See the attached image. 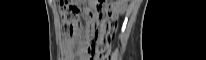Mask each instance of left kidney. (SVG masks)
Masks as SVG:
<instances>
[{"instance_id": "5707ae66", "label": "left kidney", "mask_w": 206, "mask_h": 60, "mask_svg": "<svg viewBox=\"0 0 206 60\" xmlns=\"http://www.w3.org/2000/svg\"><path fill=\"white\" fill-rule=\"evenodd\" d=\"M125 9H126L125 3L121 2V1L116 2V5H115L116 11L123 13L125 11Z\"/></svg>"}]
</instances>
